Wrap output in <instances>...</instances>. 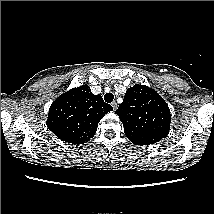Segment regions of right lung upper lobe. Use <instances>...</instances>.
I'll return each instance as SVG.
<instances>
[{
	"instance_id": "right-lung-upper-lobe-1",
	"label": "right lung upper lobe",
	"mask_w": 214,
	"mask_h": 214,
	"mask_svg": "<svg viewBox=\"0 0 214 214\" xmlns=\"http://www.w3.org/2000/svg\"><path fill=\"white\" fill-rule=\"evenodd\" d=\"M112 110L100 95L92 94L87 85H82L63 93L51 104L46 124L62 141L84 144L95 135L104 115Z\"/></svg>"
}]
</instances>
